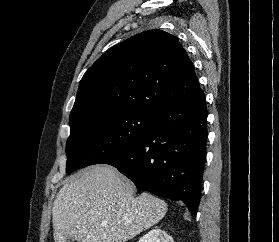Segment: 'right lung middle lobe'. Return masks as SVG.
<instances>
[{
  "label": "right lung middle lobe",
  "instance_id": "1",
  "mask_svg": "<svg viewBox=\"0 0 279 242\" xmlns=\"http://www.w3.org/2000/svg\"><path fill=\"white\" fill-rule=\"evenodd\" d=\"M155 116L151 111L121 109L71 119L66 172L101 163L133 146L153 129Z\"/></svg>",
  "mask_w": 279,
  "mask_h": 242
}]
</instances>
